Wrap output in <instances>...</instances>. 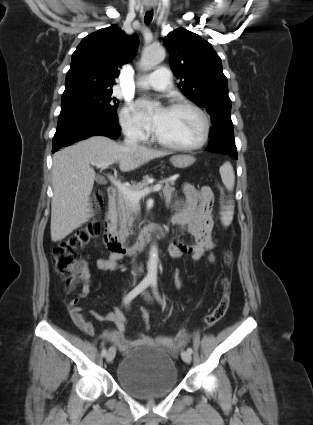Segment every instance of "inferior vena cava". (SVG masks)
Wrapping results in <instances>:
<instances>
[{
  "label": "inferior vena cava",
  "mask_w": 313,
  "mask_h": 425,
  "mask_svg": "<svg viewBox=\"0 0 313 425\" xmlns=\"http://www.w3.org/2000/svg\"><path fill=\"white\" fill-rule=\"evenodd\" d=\"M124 145L131 149L138 147L137 133L132 128L126 129V137L124 139ZM133 274L135 275L134 272Z\"/></svg>",
  "instance_id": "602c4592"
}]
</instances>
